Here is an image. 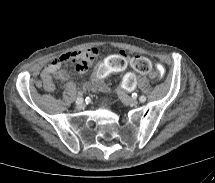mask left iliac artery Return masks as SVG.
<instances>
[{
    "label": "left iliac artery",
    "mask_w": 215,
    "mask_h": 183,
    "mask_svg": "<svg viewBox=\"0 0 215 183\" xmlns=\"http://www.w3.org/2000/svg\"><path fill=\"white\" fill-rule=\"evenodd\" d=\"M139 100H140V102H145L146 101V97L145 96H140Z\"/></svg>",
    "instance_id": "44dca946"
}]
</instances>
